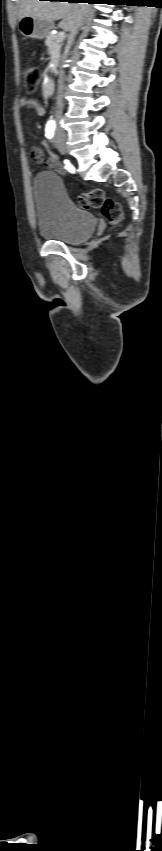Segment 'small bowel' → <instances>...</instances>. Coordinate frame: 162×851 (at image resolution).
<instances>
[{
  "label": "small bowel",
  "instance_id": "c3829d8e",
  "mask_svg": "<svg viewBox=\"0 0 162 851\" xmlns=\"http://www.w3.org/2000/svg\"><path fill=\"white\" fill-rule=\"evenodd\" d=\"M20 106L22 108L34 109L39 116L44 115V108L41 107L37 102L32 98H22L20 100ZM44 146H47L45 141H42ZM32 157L37 164L44 165L50 169L60 171L61 165L58 161V158L53 153H50L49 157L46 158L43 150L39 147L32 148Z\"/></svg>",
  "mask_w": 162,
  "mask_h": 851
}]
</instances>
